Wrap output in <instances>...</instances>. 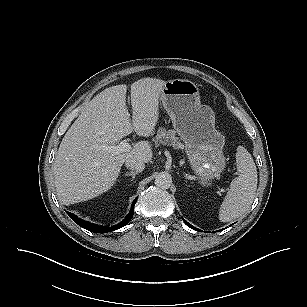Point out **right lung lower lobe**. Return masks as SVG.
Wrapping results in <instances>:
<instances>
[{
  "label": "right lung lower lobe",
  "mask_w": 307,
  "mask_h": 307,
  "mask_svg": "<svg viewBox=\"0 0 307 307\" xmlns=\"http://www.w3.org/2000/svg\"><path fill=\"white\" fill-rule=\"evenodd\" d=\"M137 199H135L132 203V207L130 209L129 214L126 216V218L121 221L120 223H118L117 225H113L111 227H106V226H99L90 222H87L85 220H82L80 218H78L76 215L70 213V212H66L70 218L76 222L79 226H81L82 228L89 230L91 232H96V233H108V232H112L114 230H117L123 226H125L133 217L134 214V206L136 203Z\"/></svg>",
  "instance_id": "obj_1"
}]
</instances>
